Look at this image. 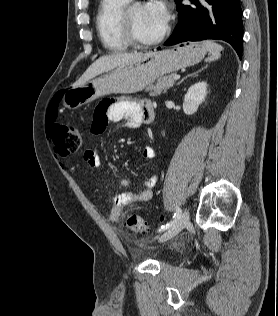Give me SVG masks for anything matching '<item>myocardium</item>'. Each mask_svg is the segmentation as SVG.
<instances>
[{"mask_svg":"<svg viewBox=\"0 0 278 316\" xmlns=\"http://www.w3.org/2000/svg\"><path fill=\"white\" fill-rule=\"evenodd\" d=\"M133 7L134 6L125 9L122 15L123 31L128 42L131 45L136 46V47H151L162 42L168 36L170 32L169 25H166L164 30L161 32V34L155 37L154 39L143 40L140 37H138L134 28L133 20L131 17V10Z\"/></svg>","mask_w":278,"mask_h":316,"instance_id":"f54148a6","label":"myocardium"}]
</instances>
